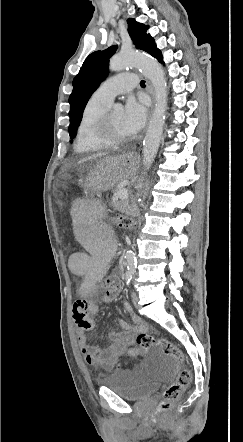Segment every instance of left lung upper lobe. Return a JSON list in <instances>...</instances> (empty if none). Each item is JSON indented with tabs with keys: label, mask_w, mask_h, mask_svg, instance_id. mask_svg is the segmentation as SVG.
Instances as JSON below:
<instances>
[{
	"label": "left lung upper lobe",
	"mask_w": 243,
	"mask_h": 442,
	"mask_svg": "<svg viewBox=\"0 0 243 442\" xmlns=\"http://www.w3.org/2000/svg\"><path fill=\"white\" fill-rule=\"evenodd\" d=\"M128 32L137 48L151 54L156 47L154 38L146 33L147 27L136 22L134 19L127 20ZM117 47L112 46L103 51L91 53L84 61L79 73L73 80V91L69 97L70 125L69 134L73 139L81 122L84 108L101 81L107 76L109 58L114 54Z\"/></svg>",
	"instance_id": "5c2ea615"
}]
</instances>
